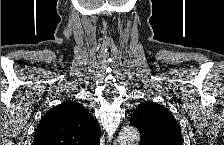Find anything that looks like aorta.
<instances>
[{
    "label": "aorta",
    "instance_id": "1",
    "mask_svg": "<svg viewBox=\"0 0 224 145\" xmlns=\"http://www.w3.org/2000/svg\"><path fill=\"white\" fill-rule=\"evenodd\" d=\"M139 140V131L133 126H125L119 132L118 141L120 145H138Z\"/></svg>",
    "mask_w": 224,
    "mask_h": 145
}]
</instances>
